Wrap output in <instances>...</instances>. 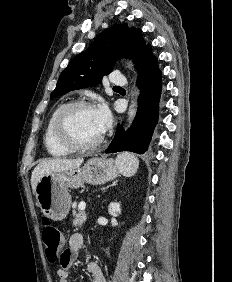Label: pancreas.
<instances>
[{"label": "pancreas", "instance_id": "pancreas-1", "mask_svg": "<svg viewBox=\"0 0 232 282\" xmlns=\"http://www.w3.org/2000/svg\"><path fill=\"white\" fill-rule=\"evenodd\" d=\"M74 220L73 225L75 227L82 226L83 223L86 221V214L84 211H79L78 213L73 212Z\"/></svg>", "mask_w": 232, "mask_h": 282}]
</instances>
